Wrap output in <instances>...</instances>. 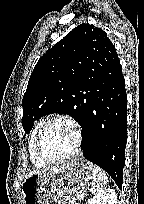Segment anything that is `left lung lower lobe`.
<instances>
[{
    "label": "left lung lower lobe",
    "mask_w": 144,
    "mask_h": 204,
    "mask_svg": "<svg viewBox=\"0 0 144 204\" xmlns=\"http://www.w3.org/2000/svg\"><path fill=\"white\" fill-rule=\"evenodd\" d=\"M82 125L85 159L103 168L122 187L127 142V95L119 59L93 69Z\"/></svg>",
    "instance_id": "left-lung-lower-lobe-1"
}]
</instances>
